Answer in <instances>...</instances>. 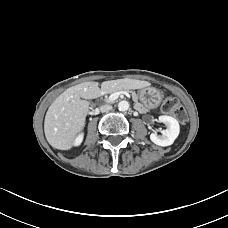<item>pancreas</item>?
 I'll return each mask as SVG.
<instances>
[{
  "label": "pancreas",
  "instance_id": "obj_1",
  "mask_svg": "<svg viewBox=\"0 0 228 228\" xmlns=\"http://www.w3.org/2000/svg\"><path fill=\"white\" fill-rule=\"evenodd\" d=\"M116 92V90H111L109 91L108 93H114ZM129 93H131L132 95V102L134 103L135 105V108L140 111V112H143V113H147V111L149 110V107L148 106H144L143 104L139 103L138 99H137V95L131 91H129ZM106 102H111L109 100V98H106Z\"/></svg>",
  "mask_w": 228,
  "mask_h": 228
}]
</instances>
